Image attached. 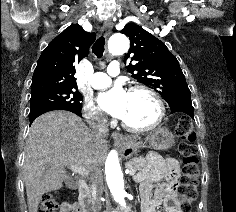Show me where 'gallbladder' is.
I'll use <instances>...</instances> for the list:
<instances>
[{"label":"gallbladder","instance_id":"bac80fb5","mask_svg":"<svg viewBox=\"0 0 236 212\" xmlns=\"http://www.w3.org/2000/svg\"><path fill=\"white\" fill-rule=\"evenodd\" d=\"M65 183H66V185H68V186H73V185H74V182L72 181L71 178L65 179Z\"/></svg>","mask_w":236,"mask_h":212}]
</instances>
